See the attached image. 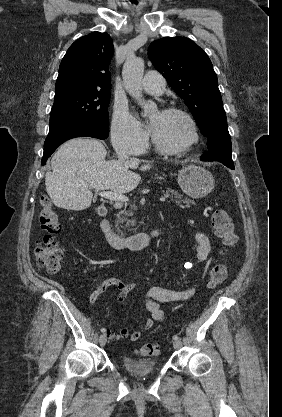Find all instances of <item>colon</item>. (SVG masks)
Masks as SVG:
<instances>
[{
  "label": "colon",
  "instance_id": "5ec220e1",
  "mask_svg": "<svg viewBox=\"0 0 282 417\" xmlns=\"http://www.w3.org/2000/svg\"><path fill=\"white\" fill-rule=\"evenodd\" d=\"M39 219L43 231L42 241L36 249L35 261L39 267L48 273H59L63 266L61 247L55 236L61 232L62 224L47 195L40 199ZM212 228L216 236L227 246L233 247L237 243L231 217L224 209H216L210 215ZM228 275V266L225 262L215 264L210 272L207 282L209 288H215L225 281ZM158 350L157 344H147L139 347V356H154Z\"/></svg>",
  "mask_w": 282,
  "mask_h": 417
}]
</instances>
